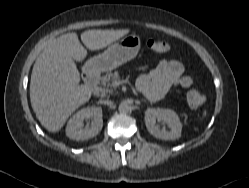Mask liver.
<instances>
[{"label":"liver","mask_w":249,"mask_h":188,"mask_svg":"<svg viewBox=\"0 0 249 188\" xmlns=\"http://www.w3.org/2000/svg\"><path fill=\"white\" fill-rule=\"evenodd\" d=\"M129 31L88 30L81 34V41L87 49L96 51ZM86 56L87 50L73 32L50 41L35 61L30 101L37 119L50 132H58L69 116L91 98V89L79 85V72L74 62H81Z\"/></svg>","instance_id":"obj_1"}]
</instances>
